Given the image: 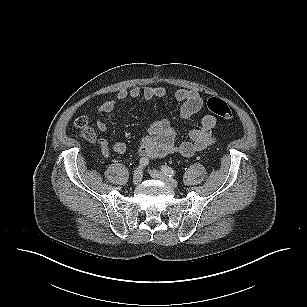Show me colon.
Masks as SVG:
<instances>
[{
    "label": "colon",
    "instance_id": "5ec220e1",
    "mask_svg": "<svg viewBox=\"0 0 307 307\" xmlns=\"http://www.w3.org/2000/svg\"><path fill=\"white\" fill-rule=\"evenodd\" d=\"M207 109L225 120H231L233 117L232 111L228 104L220 98L212 97L207 100ZM76 135L87 141L96 139L95 132L89 125L87 118L80 117L75 121Z\"/></svg>",
    "mask_w": 307,
    "mask_h": 307
}]
</instances>
